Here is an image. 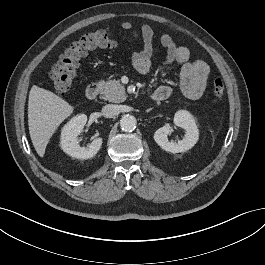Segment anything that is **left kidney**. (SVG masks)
I'll return each mask as SVG.
<instances>
[{"instance_id": "1", "label": "left kidney", "mask_w": 265, "mask_h": 265, "mask_svg": "<svg viewBox=\"0 0 265 265\" xmlns=\"http://www.w3.org/2000/svg\"><path fill=\"white\" fill-rule=\"evenodd\" d=\"M174 124L185 130L184 138L178 143L168 140L170 126L159 128L154 134L155 142L165 151L171 153L185 152L191 149L199 139V130L193 116L186 110H179L174 115Z\"/></svg>"}]
</instances>
